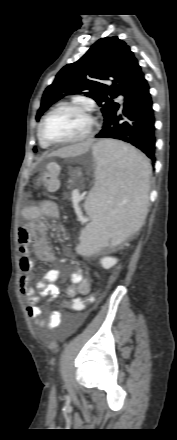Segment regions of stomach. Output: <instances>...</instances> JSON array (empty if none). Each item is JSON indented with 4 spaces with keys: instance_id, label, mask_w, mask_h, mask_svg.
<instances>
[{
    "instance_id": "1",
    "label": "stomach",
    "mask_w": 177,
    "mask_h": 440,
    "mask_svg": "<svg viewBox=\"0 0 177 440\" xmlns=\"http://www.w3.org/2000/svg\"><path fill=\"white\" fill-rule=\"evenodd\" d=\"M95 146H96V145L93 146V149L95 148ZM77 173H78V174H81V170L78 169V170H77Z\"/></svg>"
}]
</instances>
